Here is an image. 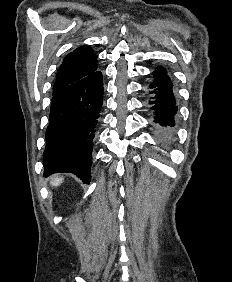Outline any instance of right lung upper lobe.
Returning <instances> with one entry per match:
<instances>
[{"instance_id": "right-lung-upper-lobe-1", "label": "right lung upper lobe", "mask_w": 232, "mask_h": 282, "mask_svg": "<svg viewBox=\"0 0 232 282\" xmlns=\"http://www.w3.org/2000/svg\"><path fill=\"white\" fill-rule=\"evenodd\" d=\"M95 71H97V56L90 46H81L64 58L56 75L53 92L59 91Z\"/></svg>"}]
</instances>
